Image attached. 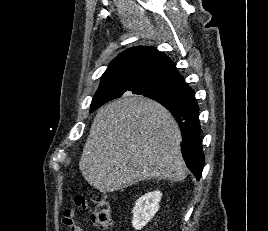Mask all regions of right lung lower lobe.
I'll use <instances>...</instances> for the list:
<instances>
[{
    "label": "right lung lower lobe",
    "instance_id": "right-lung-lower-lobe-1",
    "mask_svg": "<svg viewBox=\"0 0 268 231\" xmlns=\"http://www.w3.org/2000/svg\"><path fill=\"white\" fill-rule=\"evenodd\" d=\"M177 120L181 133V151L189 170L200 179L203 166L204 154L200 139L199 107L196 99L189 105H164Z\"/></svg>",
    "mask_w": 268,
    "mask_h": 231
}]
</instances>
